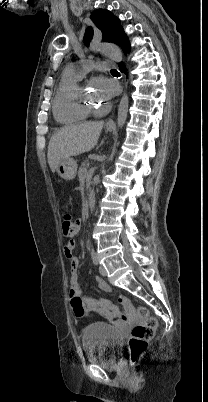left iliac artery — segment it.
<instances>
[{"label":"left iliac artery","instance_id":"44dca946","mask_svg":"<svg viewBox=\"0 0 208 402\" xmlns=\"http://www.w3.org/2000/svg\"><path fill=\"white\" fill-rule=\"evenodd\" d=\"M92 261H93V263H94L95 265L98 264V259H97V256H96L95 254H92Z\"/></svg>","mask_w":208,"mask_h":402}]
</instances>
